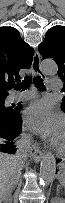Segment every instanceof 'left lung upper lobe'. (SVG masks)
Instances as JSON below:
<instances>
[{"label":"left lung upper lobe","mask_w":65,"mask_h":203,"mask_svg":"<svg viewBox=\"0 0 65 203\" xmlns=\"http://www.w3.org/2000/svg\"><path fill=\"white\" fill-rule=\"evenodd\" d=\"M38 50L43 58H53L56 61L59 66L58 76L64 81L65 92V26L57 25L49 29ZM61 108L65 112V97Z\"/></svg>","instance_id":"1"}]
</instances>
